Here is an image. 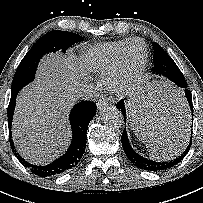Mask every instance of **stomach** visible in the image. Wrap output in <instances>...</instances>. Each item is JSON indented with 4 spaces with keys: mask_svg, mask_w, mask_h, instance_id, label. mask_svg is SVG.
Returning <instances> with one entry per match:
<instances>
[{
    "mask_svg": "<svg viewBox=\"0 0 203 203\" xmlns=\"http://www.w3.org/2000/svg\"><path fill=\"white\" fill-rule=\"evenodd\" d=\"M136 99H139V100H142V101H145V102H146V103L144 104L146 111L150 112V111H151L150 108H153L149 103H147L146 94H139V95H137L136 98H134V100H136Z\"/></svg>",
    "mask_w": 203,
    "mask_h": 203,
    "instance_id": "1",
    "label": "stomach"
}]
</instances>
